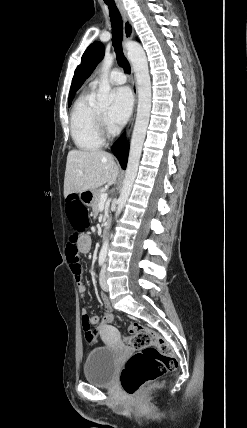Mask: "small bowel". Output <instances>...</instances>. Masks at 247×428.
Segmentation results:
<instances>
[{
  "instance_id": "obj_1",
  "label": "small bowel",
  "mask_w": 247,
  "mask_h": 428,
  "mask_svg": "<svg viewBox=\"0 0 247 428\" xmlns=\"http://www.w3.org/2000/svg\"><path fill=\"white\" fill-rule=\"evenodd\" d=\"M91 245H92L91 238L88 235H83L78 239V242H77V255H72L67 250V259H68V262L70 263L71 270L76 278L78 292L82 298L85 296V293H86V285L82 281V269L79 263L78 254L88 253L91 249ZM102 299L106 305V309H111L107 297L103 296ZM83 318H87L91 325L100 324L101 326V322H100L101 320L99 316H96V315L89 316L86 309L82 310V319Z\"/></svg>"
}]
</instances>
